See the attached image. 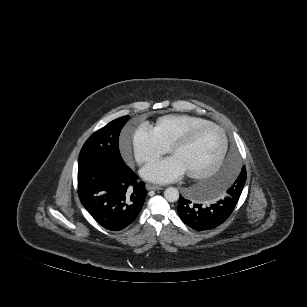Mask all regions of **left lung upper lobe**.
<instances>
[{"instance_id":"5c2ea615","label":"left lung upper lobe","mask_w":307,"mask_h":307,"mask_svg":"<svg viewBox=\"0 0 307 307\" xmlns=\"http://www.w3.org/2000/svg\"><path fill=\"white\" fill-rule=\"evenodd\" d=\"M245 181H246V169L245 167H243L241 173L239 174L233 185L227 190V194L240 197Z\"/></svg>"}]
</instances>
